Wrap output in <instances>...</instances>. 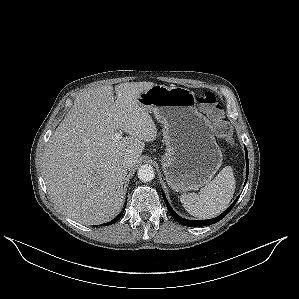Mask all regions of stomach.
Instances as JSON below:
<instances>
[{
    "mask_svg": "<svg viewBox=\"0 0 299 299\" xmlns=\"http://www.w3.org/2000/svg\"><path fill=\"white\" fill-rule=\"evenodd\" d=\"M139 105L163 124L166 152L161 164L168 185L177 192L208 184L222 165L211 122L196 108L192 91L153 85L140 94Z\"/></svg>",
    "mask_w": 299,
    "mask_h": 299,
    "instance_id": "obj_1",
    "label": "stomach"
}]
</instances>
